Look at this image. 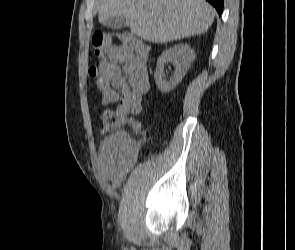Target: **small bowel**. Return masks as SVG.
<instances>
[{
    "label": "small bowel",
    "instance_id": "obj_1",
    "mask_svg": "<svg viewBox=\"0 0 295 250\" xmlns=\"http://www.w3.org/2000/svg\"><path fill=\"white\" fill-rule=\"evenodd\" d=\"M147 52L132 54L124 45L116 46L110 57L108 70L96 79L99 103L108 106H132L142 109L150 83L147 71ZM131 143L124 133H116L104 140L100 148V164L104 174L119 182L128 171Z\"/></svg>",
    "mask_w": 295,
    "mask_h": 250
}]
</instances>
